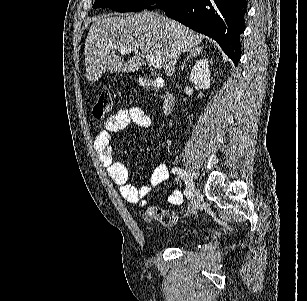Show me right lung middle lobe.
Returning <instances> with one entry per match:
<instances>
[{"instance_id": "right-lung-middle-lobe-1", "label": "right lung middle lobe", "mask_w": 307, "mask_h": 301, "mask_svg": "<svg viewBox=\"0 0 307 301\" xmlns=\"http://www.w3.org/2000/svg\"><path fill=\"white\" fill-rule=\"evenodd\" d=\"M157 0H96L93 8L109 7L117 12L142 11Z\"/></svg>"}]
</instances>
